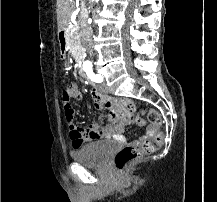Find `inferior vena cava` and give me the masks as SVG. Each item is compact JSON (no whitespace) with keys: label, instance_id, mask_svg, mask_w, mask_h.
Masks as SVG:
<instances>
[{"label":"inferior vena cava","instance_id":"inferior-vena-cava-1","mask_svg":"<svg viewBox=\"0 0 217 202\" xmlns=\"http://www.w3.org/2000/svg\"><path fill=\"white\" fill-rule=\"evenodd\" d=\"M92 36H93L92 30H86V32H83L82 34L83 44L89 56H93Z\"/></svg>","mask_w":217,"mask_h":202}]
</instances>
